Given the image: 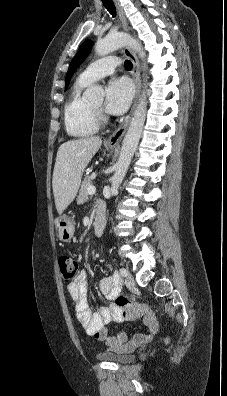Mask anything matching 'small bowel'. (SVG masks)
<instances>
[{
	"instance_id": "c3829d8e",
	"label": "small bowel",
	"mask_w": 227,
	"mask_h": 396,
	"mask_svg": "<svg viewBox=\"0 0 227 396\" xmlns=\"http://www.w3.org/2000/svg\"><path fill=\"white\" fill-rule=\"evenodd\" d=\"M99 291L110 302L108 306H100L92 312L88 304L87 275L84 270L77 273L72 283L68 286L70 297L75 305V313L78 321L88 334L96 339L104 341L112 349H120L125 346H133L149 341L158 331V322L154 313L142 303H131L124 306L117 304L120 295L121 284L113 276H105L99 281ZM142 319L146 333H137L130 340L125 333L116 336L108 334L106 325L115 322L135 321Z\"/></svg>"
}]
</instances>
